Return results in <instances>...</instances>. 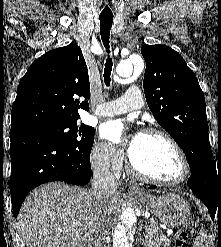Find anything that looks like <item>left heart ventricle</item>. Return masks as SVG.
Wrapping results in <instances>:
<instances>
[{
	"label": "left heart ventricle",
	"mask_w": 221,
	"mask_h": 247,
	"mask_svg": "<svg viewBox=\"0 0 221 247\" xmlns=\"http://www.w3.org/2000/svg\"><path fill=\"white\" fill-rule=\"evenodd\" d=\"M130 154L144 172L163 180H177L183 175L181 159L166 140L138 133Z\"/></svg>",
	"instance_id": "1"
}]
</instances>
